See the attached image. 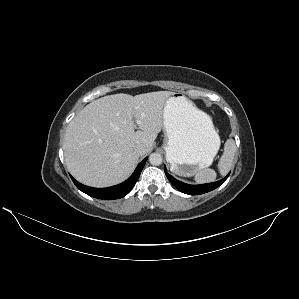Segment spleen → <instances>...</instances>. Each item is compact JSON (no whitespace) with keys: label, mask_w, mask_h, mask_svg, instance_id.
Wrapping results in <instances>:
<instances>
[{"label":"spleen","mask_w":299,"mask_h":299,"mask_svg":"<svg viewBox=\"0 0 299 299\" xmlns=\"http://www.w3.org/2000/svg\"><path fill=\"white\" fill-rule=\"evenodd\" d=\"M236 152V145L233 139H228L224 144V152L221 156L218 169L221 175L225 176L231 169L234 155ZM216 172L213 169H203L195 174V181L199 184L210 183L216 180Z\"/></svg>","instance_id":"1"}]
</instances>
